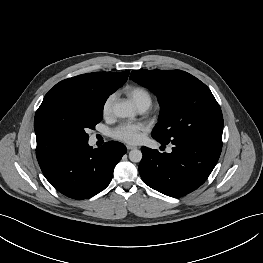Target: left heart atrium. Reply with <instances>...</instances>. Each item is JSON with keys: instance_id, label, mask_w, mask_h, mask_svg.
I'll return each instance as SVG.
<instances>
[{"instance_id": "left-heart-atrium-1", "label": "left heart atrium", "mask_w": 263, "mask_h": 263, "mask_svg": "<svg viewBox=\"0 0 263 263\" xmlns=\"http://www.w3.org/2000/svg\"><path fill=\"white\" fill-rule=\"evenodd\" d=\"M143 130L144 126L141 124L125 123L115 128L112 136L126 143L135 144L140 140Z\"/></svg>"}]
</instances>
